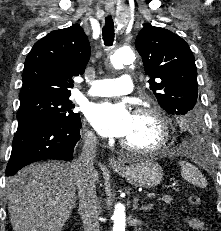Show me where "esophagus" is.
<instances>
[{
	"mask_svg": "<svg viewBox=\"0 0 221 231\" xmlns=\"http://www.w3.org/2000/svg\"><path fill=\"white\" fill-rule=\"evenodd\" d=\"M108 14H113V11L109 10ZM109 164L113 167L121 166V162L115 158H110Z\"/></svg>",
	"mask_w": 221,
	"mask_h": 231,
	"instance_id": "1",
	"label": "esophagus"
}]
</instances>
